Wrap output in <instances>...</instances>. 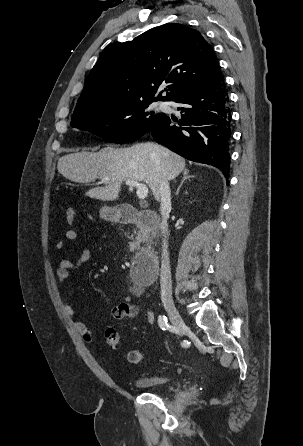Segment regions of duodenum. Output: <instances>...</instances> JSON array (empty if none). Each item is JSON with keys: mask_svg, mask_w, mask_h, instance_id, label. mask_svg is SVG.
Wrapping results in <instances>:
<instances>
[{"mask_svg": "<svg viewBox=\"0 0 303 446\" xmlns=\"http://www.w3.org/2000/svg\"><path fill=\"white\" fill-rule=\"evenodd\" d=\"M120 223L135 224L147 231H155L159 225L158 214L151 210L139 211L132 207H121L116 211ZM158 257L152 251L139 252L132 261L134 282L143 286L151 283L158 273Z\"/></svg>", "mask_w": 303, "mask_h": 446, "instance_id": "1", "label": "duodenum"}]
</instances>
